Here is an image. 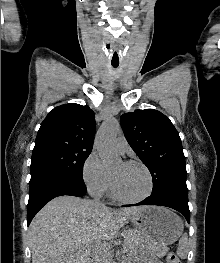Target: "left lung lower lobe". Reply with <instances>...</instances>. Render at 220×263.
Segmentation results:
<instances>
[{
    "label": "left lung lower lobe",
    "instance_id": "left-lung-lower-lobe-1",
    "mask_svg": "<svg viewBox=\"0 0 220 263\" xmlns=\"http://www.w3.org/2000/svg\"><path fill=\"white\" fill-rule=\"evenodd\" d=\"M134 205H158V206L170 207L183 214L187 222L190 223V211L188 206V199H182L173 194L151 195L145 200ZM134 205H125V206H134Z\"/></svg>",
    "mask_w": 220,
    "mask_h": 263
}]
</instances>
